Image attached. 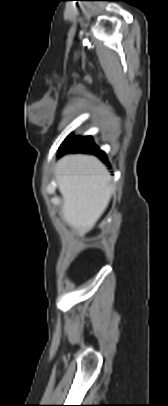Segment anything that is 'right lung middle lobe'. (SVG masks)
Here are the masks:
<instances>
[{
	"label": "right lung middle lobe",
	"instance_id": "1",
	"mask_svg": "<svg viewBox=\"0 0 168 406\" xmlns=\"http://www.w3.org/2000/svg\"><path fill=\"white\" fill-rule=\"evenodd\" d=\"M86 138H88V137H78V138H71L70 136L67 137L66 140H65V141L63 142V144L61 145V148H60L59 153H60L61 151H63L65 148H67L68 146H70V145H72V144H74V143H77V142H79V141H81V140H84V139H86Z\"/></svg>",
	"mask_w": 168,
	"mask_h": 406
}]
</instances>
